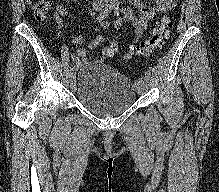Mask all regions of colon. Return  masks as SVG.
Masks as SVG:
<instances>
[{
  "label": "colon",
  "mask_w": 219,
  "mask_h": 192,
  "mask_svg": "<svg viewBox=\"0 0 219 192\" xmlns=\"http://www.w3.org/2000/svg\"><path fill=\"white\" fill-rule=\"evenodd\" d=\"M32 12L35 18L44 19L50 9L49 0H32ZM173 27V20L169 16L163 17L154 27L151 35L142 42H135L129 47V51L123 57L124 59H131L138 56H145L152 50L159 48L163 42L168 38L169 32ZM117 53L115 43H110L102 50V55L105 58L114 57Z\"/></svg>",
  "instance_id": "1"
}]
</instances>
